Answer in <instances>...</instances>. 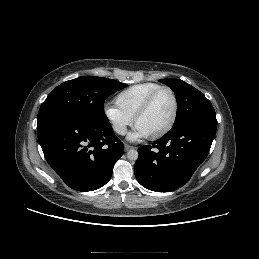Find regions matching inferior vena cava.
<instances>
[{
	"label": "inferior vena cava",
	"instance_id": "602c4592",
	"mask_svg": "<svg viewBox=\"0 0 259 259\" xmlns=\"http://www.w3.org/2000/svg\"><path fill=\"white\" fill-rule=\"evenodd\" d=\"M114 130L120 135H125L126 133V128H124L123 126H115Z\"/></svg>",
	"mask_w": 259,
	"mask_h": 259
}]
</instances>
